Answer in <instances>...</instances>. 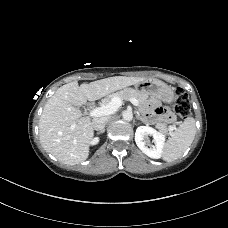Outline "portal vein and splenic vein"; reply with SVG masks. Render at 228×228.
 I'll return each instance as SVG.
<instances>
[{
	"label": "portal vein and splenic vein",
	"mask_w": 228,
	"mask_h": 228,
	"mask_svg": "<svg viewBox=\"0 0 228 228\" xmlns=\"http://www.w3.org/2000/svg\"><path fill=\"white\" fill-rule=\"evenodd\" d=\"M134 106H138L139 102L134 99V98H131L129 100ZM122 105V100L119 98V97H113L111 99V101L106 104V105H103L101 107H97L93 110H91L89 113H88V117H101V116H106V115H110V114H113L115 113L118 108ZM75 125H73L72 127H74Z\"/></svg>",
	"instance_id": "obj_1"
}]
</instances>
